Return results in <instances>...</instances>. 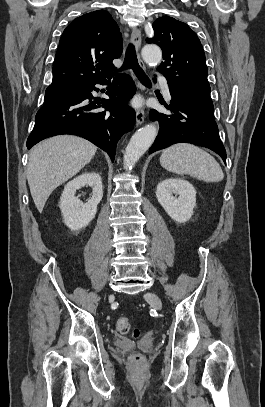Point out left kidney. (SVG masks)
I'll list each match as a JSON object with an SVG mask.
<instances>
[{
	"label": "left kidney",
	"mask_w": 265,
	"mask_h": 407,
	"mask_svg": "<svg viewBox=\"0 0 265 407\" xmlns=\"http://www.w3.org/2000/svg\"><path fill=\"white\" fill-rule=\"evenodd\" d=\"M156 197L167 214L178 223L189 221L193 215V209L196 206V190L184 179L163 180L157 186Z\"/></svg>",
	"instance_id": "1"
}]
</instances>
